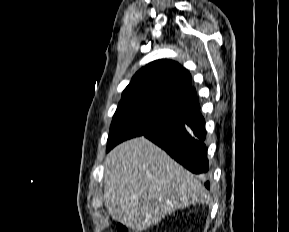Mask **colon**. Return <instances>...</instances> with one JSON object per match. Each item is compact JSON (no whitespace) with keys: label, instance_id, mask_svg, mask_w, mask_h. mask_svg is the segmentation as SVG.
Returning a JSON list of instances; mask_svg holds the SVG:
<instances>
[{"label":"colon","instance_id":"1","mask_svg":"<svg viewBox=\"0 0 289 232\" xmlns=\"http://www.w3.org/2000/svg\"><path fill=\"white\" fill-rule=\"evenodd\" d=\"M117 231L118 232H133L123 223H118L117 224Z\"/></svg>","mask_w":289,"mask_h":232}]
</instances>
